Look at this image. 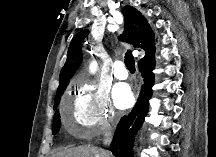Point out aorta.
Returning a JSON list of instances; mask_svg holds the SVG:
<instances>
[{
  "label": "aorta",
  "instance_id": "1",
  "mask_svg": "<svg viewBox=\"0 0 216 157\" xmlns=\"http://www.w3.org/2000/svg\"><path fill=\"white\" fill-rule=\"evenodd\" d=\"M97 68V64L96 62H93L92 65H91V71L94 72Z\"/></svg>",
  "mask_w": 216,
  "mask_h": 157
}]
</instances>
